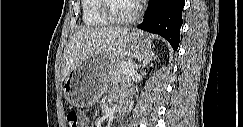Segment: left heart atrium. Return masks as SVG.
<instances>
[{
	"label": "left heart atrium",
	"mask_w": 243,
	"mask_h": 127,
	"mask_svg": "<svg viewBox=\"0 0 243 127\" xmlns=\"http://www.w3.org/2000/svg\"><path fill=\"white\" fill-rule=\"evenodd\" d=\"M133 2H140V0H135V1H133Z\"/></svg>",
	"instance_id": "obj_1"
}]
</instances>
